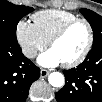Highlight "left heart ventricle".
Returning a JSON list of instances; mask_svg holds the SVG:
<instances>
[{
	"label": "left heart ventricle",
	"mask_w": 102,
	"mask_h": 102,
	"mask_svg": "<svg viewBox=\"0 0 102 102\" xmlns=\"http://www.w3.org/2000/svg\"><path fill=\"white\" fill-rule=\"evenodd\" d=\"M88 40V30L82 23L74 25L66 35L57 41L51 50L62 63L70 62L79 57Z\"/></svg>",
	"instance_id": "obj_1"
}]
</instances>
